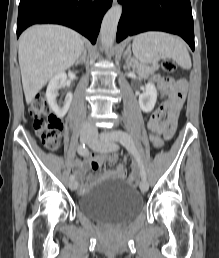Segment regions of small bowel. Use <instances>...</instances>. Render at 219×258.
<instances>
[{
    "instance_id": "small-bowel-1",
    "label": "small bowel",
    "mask_w": 219,
    "mask_h": 258,
    "mask_svg": "<svg viewBox=\"0 0 219 258\" xmlns=\"http://www.w3.org/2000/svg\"><path fill=\"white\" fill-rule=\"evenodd\" d=\"M152 79L160 84L163 94H167V97L162 104L156 105L155 112H151V117H167V119L146 118L147 127L151 134H162L165 139H170L176 129L178 114L185 98L186 85L183 80H174L159 75H154ZM118 161L119 158L114 154H96L78 161L75 174L80 179L81 192L87 191L89 186V181L85 178L88 170L97 171L104 162ZM118 166L114 168V171L107 172V175H112L115 179H127L125 163L119 162Z\"/></svg>"
}]
</instances>
